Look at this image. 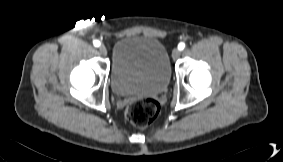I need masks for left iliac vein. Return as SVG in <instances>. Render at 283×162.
<instances>
[{
    "mask_svg": "<svg viewBox=\"0 0 283 162\" xmlns=\"http://www.w3.org/2000/svg\"><path fill=\"white\" fill-rule=\"evenodd\" d=\"M179 56H180V50L178 48L173 49L172 58L175 60V59L179 58Z\"/></svg>",
    "mask_w": 283,
    "mask_h": 162,
    "instance_id": "4c4485c4",
    "label": "left iliac vein"
}]
</instances>
